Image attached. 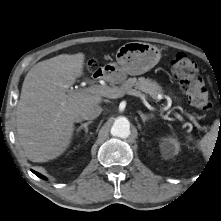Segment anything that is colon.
<instances>
[{
  "mask_svg": "<svg viewBox=\"0 0 221 221\" xmlns=\"http://www.w3.org/2000/svg\"><path fill=\"white\" fill-rule=\"evenodd\" d=\"M87 67L93 72L97 70L98 65L95 61H90ZM172 71L190 103L200 110H209L211 108L209 94L198 73L196 63L184 53H178L172 61Z\"/></svg>",
  "mask_w": 221,
  "mask_h": 221,
  "instance_id": "colon-1",
  "label": "colon"
}]
</instances>
